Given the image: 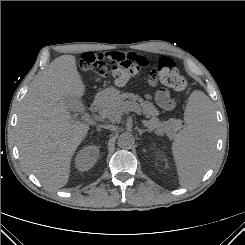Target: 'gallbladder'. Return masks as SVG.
Listing matches in <instances>:
<instances>
[{
  "label": "gallbladder",
  "mask_w": 245,
  "mask_h": 245,
  "mask_svg": "<svg viewBox=\"0 0 245 245\" xmlns=\"http://www.w3.org/2000/svg\"><path fill=\"white\" fill-rule=\"evenodd\" d=\"M65 105L70 111H84V103L81 98L76 96H69L65 99Z\"/></svg>",
  "instance_id": "obj_1"
}]
</instances>
